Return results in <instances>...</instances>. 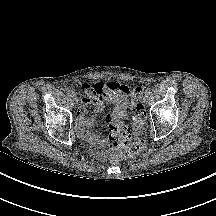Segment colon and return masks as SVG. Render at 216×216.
<instances>
[{
  "label": "colon",
  "mask_w": 216,
  "mask_h": 216,
  "mask_svg": "<svg viewBox=\"0 0 216 216\" xmlns=\"http://www.w3.org/2000/svg\"><path fill=\"white\" fill-rule=\"evenodd\" d=\"M85 93H91L94 90L92 85L83 87ZM143 89L137 87L132 90V121L127 124L122 121H114L108 125V147L112 150V161L119 163L125 159L131 158L141 152L145 147V142L137 136V133L143 127L146 120V112L141 98Z\"/></svg>",
  "instance_id": "colon-1"
}]
</instances>
